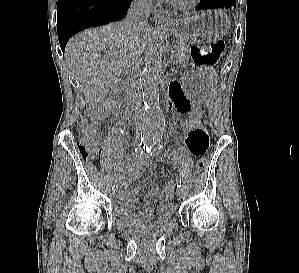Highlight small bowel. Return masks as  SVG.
Here are the masks:
<instances>
[{"label": "small bowel", "mask_w": 299, "mask_h": 273, "mask_svg": "<svg viewBox=\"0 0 299 273\" xmlns=\"http://www.w3.org/2000/svg\"><path fill=\"white\" fill-rule=\"evenodd\" d=\"M169 99L179 114H185L190 110V103L181 91L178 84L173 83L169 88ZM184 144L194 157H200L207 151L209 140L203 127L196 128L184 137ZM149 164V157L141 155L133 158L122 170L121 181L118 184V206L128 214L139 219L151 218L154 209L152 202H159L158 217H167L176 211L175 204L171 201L174 193V181L168 180L161 187L150 189L143 197L141 207L134 208L135 196L139 191L138 186H129V182L140 177Z\"/></svg>", "instance_id": "small-bowel-1"}]
</instances>
